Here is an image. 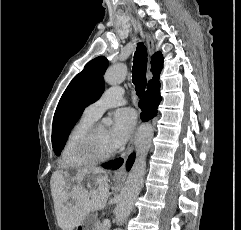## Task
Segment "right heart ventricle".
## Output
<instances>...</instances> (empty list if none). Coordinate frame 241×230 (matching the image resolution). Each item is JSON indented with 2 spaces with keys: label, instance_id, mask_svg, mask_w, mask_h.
I'll list each match as a JSON object with an SVG mask.
<instances>
[{
  "label": "right heart ventricle",
  "instance_id": "right-heart-ventricle-1",
  "mask_svg": "<svg viewBox=\"0 0 241 230\" xmlns=\"http://www.w3.org/2000/svg\"><path fill=\"white\" fill-rule=\"evenodd\" d=\"M96 121V118L83 113L67 134L61 153V163L64 167L74 168L87 165L77 151V145L82 134Z\"/></svg>",
  "mask_w": 241,
  "mask_h": 230
}]
</instances>
